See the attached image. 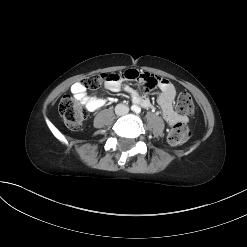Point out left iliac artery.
<instances>
[{
	"label": "left iliac artery",
	"instance_id": "1",
	"mask_svg": "<svg viewBox=\"0 0 247 247\" xmlns=\"http://www.w3.org/2000/svg\"><path fill=\"white\" fill-rule=\"evenodd\" d=\"M136 113H137V114L140 113V109H136Z\"/></svg>",
	"mask_w": 247,
	"mask_h": 247
}]
</instances>
